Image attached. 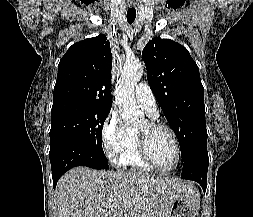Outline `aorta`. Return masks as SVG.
Returning <instances> with one entry per match:
<instances>
[{
	"label": "aorta",
	"instance_id": "obj_1",
	"mask_svg": "<svg viewBox=\"0 0 253 217\" xmlns=\"http://www.w3.org/2000/svg\"><path fill=\"white\" fill-rule=\"evenodd\" d=\"M143 73L144 66L139 61L126 62L116 85L115 100L125 125L129 127L144 122L143 112L137 106L134 94L135 85Z\"/></svg>",
	"mask_w": 253,
	"mask_h": 217
}]
</instances>
